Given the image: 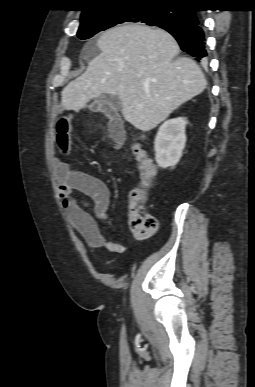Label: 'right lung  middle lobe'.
Wrapping results in <instances>:
<instances>
[{
    "instance_id": "1",
    "label": "right lung middle lobe",
    "mask_w": 255,
    "mask_h": 387,
    "mask_svg": "<svg viewBox=\"0 0 255 387\" xmlns=\"http://www.w3.org/2000/svg\"><path fill=\"white\" fill-rule=\"evenodd\" d=\"M124 22H141L150 26L185 23L180 8L162 10L157 6H126L104 10L81 18L77 36L84 40Z\"/></svg>"
}]
</instances>
